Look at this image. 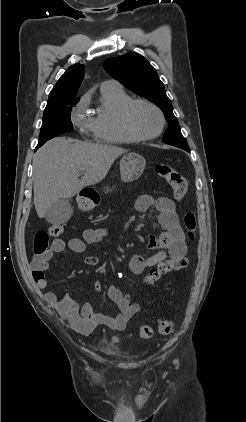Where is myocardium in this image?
Segmentation results:
<instances>
[{
    "label": "myocardium",
    "mask_w": 246,
    "mask_h": 422,
    "mask_svg": "<svg viewBox=\"0 0 246 422\" xmlns=\"http://www.w3.org/2000/svg\"><path fill=\"white\" fill-rule=\"evenodd\" d=\"M138 104H144L153 108L159 115L160 125L155 133L144 135L134 128L131 120V113L134 107ZM120 119L125 131L137 141H147L157 138L163 132L166 124L165 115L162 109L157 104L147 99H131L122 107L120 111Z\"/></svg>",
    "instance_id": "1"
}]
</instances>
